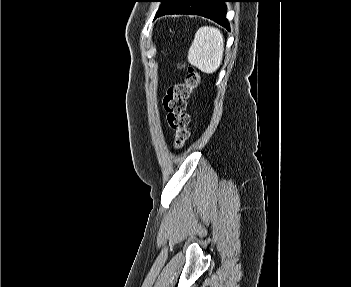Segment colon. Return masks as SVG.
I'll return each instance as SVG.
<instances>
[{
	"instance_id": "colon-1",
	"label": "colon",
	"mask_w": 351,
	"mask_h": 287,
	"mask_svg": "<svg viewBox=\"0 0 351 287\" xmlns=\"http://www.w3.org/2000/svg\"><path fill=\"white\" fill-rule=\"evenodd\" d=\"M199 81L197 70L187 66L184 80L170 86L164 97L163 105L167 113V122L174 131L173 145L176 149L183 148L189 138L190 117L187 113V103Z\"/></svg>"
}]
</instances>
